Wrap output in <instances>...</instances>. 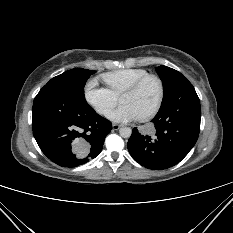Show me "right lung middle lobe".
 <instances>
[{"label":"right lung middle lobe","instance_id":"1","mask_svg":"<svg viewBox=\"0 0 233 233\" xmlns=\"http://www.w3.org/2000/svg\"><path fill=\"white\" fill-rule=\"evenodd\" d=\"M95 72L96 71L82 68H74L52 78L46 85L60 87L73 93L74 95L79 96L82 99H85V83L87 79Z\"/></svg>","mask_w":233,"mask_h":233}]
</instances>
